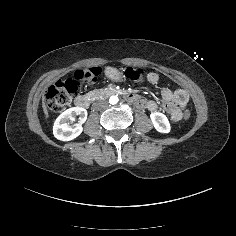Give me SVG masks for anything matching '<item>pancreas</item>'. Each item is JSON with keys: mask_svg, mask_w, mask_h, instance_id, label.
<instances>
[{"mask_svg": "<svg viewBox=\"0 0 236 236\" xmlns=\"http://www.w3.org/2000/svg\"><path fill=\"white\" fill-rule=\"evenodd\" d=\"M90 98L99 99L101 97L100 90L94 89L88 93Z\"/></svg>", "mask_w": 236, "mask_h": 236, "instance_id": "cf45deb5", "label": "pancreas"}]
</instances>
